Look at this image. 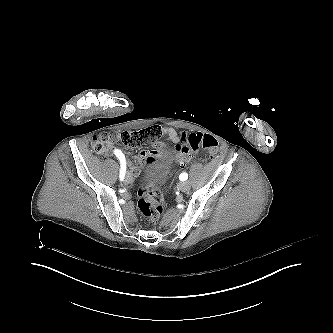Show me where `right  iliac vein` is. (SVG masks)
Segmentation results:
<instances>
[{"label": "right iliac vein", "instance_id": "right-iliac-vein-1", "mask_svg": "<svg viewBox=\"0 0 333 333\" xmlns=\"http://www.w3.org/2000/svg\"><path fill=\"white\" fill-rule=\"evenodd\" d=\"M133 180V175L127 171L126 176H125V183L129 184Z\"/></svg>", "mask_w": 333, "mask_h": 333}]
</instances>
